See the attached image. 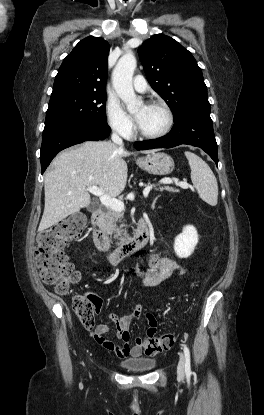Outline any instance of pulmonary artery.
Segmentation results:
<instances>
[{
    "label": "pulmonary artery",
    "mask_w": 264,
    "mask_h": 415,
    "mask_svg": "<svg viewBox=\"0 0 264 415\" xmlns=\"http://www.w3.org/2000/svg\"><path fill=\"white\" fill-rule=\"evenodd\" d=\"M133 87L138 92H146L148 89V84L146 80L141 75H136L133 78Z\"/></svg>",
    "instance_id": "pulmonary-artery-1"
}]
</instances>
